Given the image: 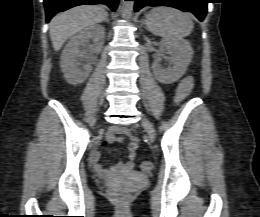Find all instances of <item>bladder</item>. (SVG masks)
Listing matches in <instances>:
<instances>
[{"instance_id":"obj_1","label":"bladder","mask_w":260,"mask_h":217,"mask_svg":"<svg viewBox=\"0 0 260 217\" xmlns=\"http://www.w3.org/2000/svg\"><path fill=\"white\" fill-rule=\"evenodd\" d=\"M131 177H135V178H138V179H143L145 176L134 172V173L131 174Z\"/></svg>"}]
</instances>
